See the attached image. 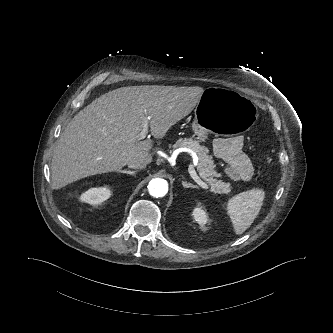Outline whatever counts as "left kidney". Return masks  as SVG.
Listing matches in <instances>:
<instances>
[{"label":"left kidney","mask_w":333,"mask_h":333,"mask_svg":"<svg viewBox=\"0 0 333 333\" xmlns=\"http://www.w3.org/2000/svg\"><path fill=\"white\" fill-rule=\"evenodd\" d=\"M192 215L195 221L201 226V228H205V225L208 222V215L202 209V207L197 206L196 208H194Z\"/></svg>","instance_id":"1"}]
</instances>
